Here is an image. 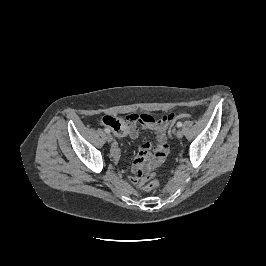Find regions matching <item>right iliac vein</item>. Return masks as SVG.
Wrapping results in <instances>:
<instances>
[{
  "label": "right iliac vein",
  "instance_id": "right-iliac-vein-1",
  "mask_svg": "<svg viewBox=\"0 0 266 266\" xmlns=\"http://www.w3.org/2000/svg\"><path fill=\"white\" fill-rule=\"evenodd\" d=\"M106 140H107V142H112L113 141L112 135L111 134H107L106 135Z\"/></svg>",
  "mask_w": 266,
  "mask_h": 266
}]
</instances>
